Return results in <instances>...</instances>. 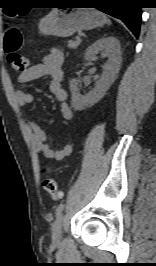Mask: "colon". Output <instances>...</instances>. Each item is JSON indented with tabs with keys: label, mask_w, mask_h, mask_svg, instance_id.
Returning <instances> with one entry per match:
<instances>
[{
	"label": "colon",
	"mask_w": 156,
	"mask_h": 266,
	"mask_svg": "<svg viewBox=\"0 0 156 266\" xmlns=\"http://www.w3.org/2000/svg\"><path fill=\"white\" fill-rule=\"evenodd\" d=\"M24 15V14H20ZM23 44L21 31L16 27H8L5 32L4 49L8 53V62L13 71L22 73L29 66V60L18 53ZM43 188L53 199L61 198L57 182L52 176H47L43 180Z\"/></svg>",
	"instance_id": "1"
}]
</instances>
